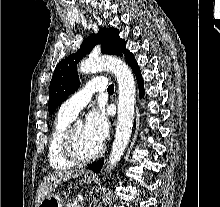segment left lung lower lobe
Masks as SVG:
<instances>
[{
    "label": "left lung lower lobe",
    "instance_id": "1",
    "mask_svg": "<svg viewBox=\"0 0 220 207\" xmlns=\"http://www.w3.org/2000/svg\"><path fill=\"white\" fill-rule=\"evenodd\" d=\"M125 59H126L127 63L130 65V67L132 68V70L135 73V75H136V79H137L138 86H139V92H140L139 95H140V97H143V95H144L143 79H142V76H141L138 64H137V62L135 60V57H134V55L132 53L128 52L126 54V56H125ZM102 165H103V162L99 161L97 163H94L90 167V169L93 170L96 173H99L101 168H102Z\"/></svg>",
    "mask_w": 220,
    "mask_h": 207
}]
</instances>
